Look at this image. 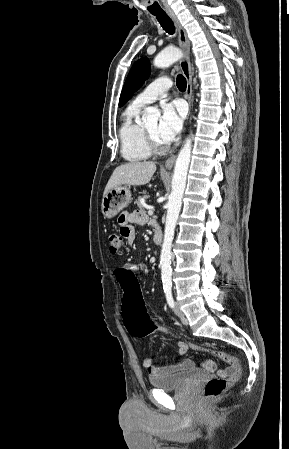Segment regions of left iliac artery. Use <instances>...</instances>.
Masks as SVG:
<instances>
[{
	"label": "left iliac artery",
	"instance_id": "44dca946",
	"mask_svg": "<svg viewBox=\"0 0 289 449\" xmlns=\"http://www.w3.org/2000/svg\"><path fill=\"white\" fill-rule=\"evenodd\" d=\"M164 291H165L166 300H167L168 305L171 308H174V299H173V296H172V290L170 288H167Z\"/></svg>",
	"mask_w": 289,
	"mask_h": 449
}]
</instances>
